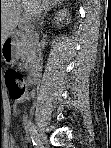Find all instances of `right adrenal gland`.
Wrapping results in <instances>:
<instances>
[{"label": "right adrenal gland", "mask_w": 111, "mask_h": 148, "mask_svg": "<svg viewBox=\"0 0 111 148\" xmlns=\"http://www.w3.org/2000/svg\"><path fill=\"white\" fill-rule=\"evenodd\" d=\"M59 4H60V1L59 0H56V1L52 2L50 4V7H48V9L45 11L44 16H43V19H44V17H46L47 11L49 12L52 8H56V6L59 5Z\"/></svg>", "instance_id": "obj_1"}]
</instances>
